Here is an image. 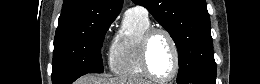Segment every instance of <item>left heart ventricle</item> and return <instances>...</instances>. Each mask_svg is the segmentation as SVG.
Wrapping results in <instances>:
<instances>
[{
    "mask_svg": "<svg viewBox=\"0 0 260 84\" xmlns=\"http://www.w3.org/2000/svg\"><path fill=\"white\" fill-rule=\"evenodd\" d=\"M149 64L153 73L160 77H169L174 69V54L170 41L163 34H156L149 49Z\"/></svg>",
    "mask_w": 260,
    "mask_h": 84,
    "instance_id": "1",
    "label": "left heart ventricle"
}]
</instances>
